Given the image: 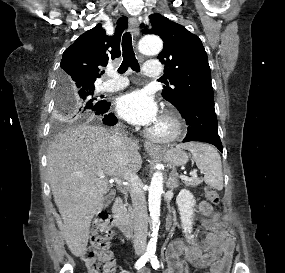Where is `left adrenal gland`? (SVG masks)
I'll return each instance as SVG.
<instances>
[{"label":"left adrenal gland","instance_id":"1","mask_svg":"<svg viewBox=\"0 0 285 273\" xmlns=\"http://www.w3.org/2000/svg\"><path fill=\"white\" fill-rule=\"evenodd\" d=\"M177 171L176 168L173 167L172 171L169 175V179L167 181V187L170 188L171 190H173L174 188L178 187V181H177Z\"/></svg>","mask_w":285,"mask_h":273}]
</instances>
